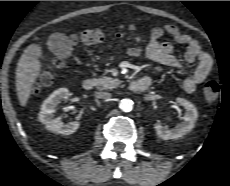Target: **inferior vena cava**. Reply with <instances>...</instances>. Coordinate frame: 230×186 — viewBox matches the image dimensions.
Masks as SVG:
<instances>
[{"label":"inferior vena cava","mask_w":230,"mask_h":186,"mask_svg":"<svg viewBox=\"0 0 230 186\" xmlns=\"http://www.w3.org/2000/svg\"><path fill=\"white\" fill-rule=\"evenodd\" d=\"M95 96L97 98L104 99V100L111 98V94L108 92H96Z\"/></svg>","instance_id":"obj_1"}]
</instances>
